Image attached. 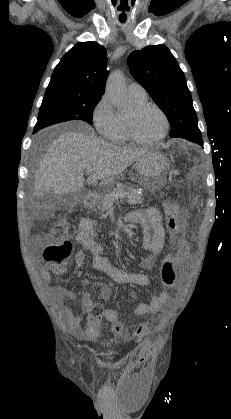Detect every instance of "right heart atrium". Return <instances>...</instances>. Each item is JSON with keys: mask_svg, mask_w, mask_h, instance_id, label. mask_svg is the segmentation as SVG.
I'll return each mask as SVG.
<instances>
[{"mask_svg": "<svg viewBox=\"0 0 231 419\" xmlns=\"http://www.w3.org/2000/svg\"><path fill=\"white\" fill-rule=\"evenodd\" d=\"M92 117L95 127L103 138L112 141L117 139L120 133L119 118L106 94L96 103Z\"/></svg>", "mask_w": 231, "mask_h": 419, "instance_id": "d8ad5b80", "label": "right heart atrium"}]
</instances>
